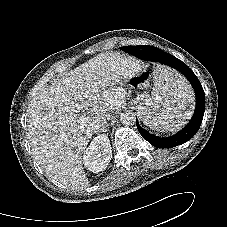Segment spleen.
Here are the masks:
<instances>
[{
    "instance_id": "obj_1",
    "label": "spleen",
    "mask_w": 227,
    "mask_h": 227,
    "mask_svg": "<svg viewBox=\"0 0 227 227\" xmlns=\"http://www.w3.org/2000/svg\"><path fill=\"white\" fill-rule=\"evenodd\" d=\"M153 75L151 97L138 107V113L150 128L173 132L192 114V91L183 77L168 68L157 67Z\"/></svg>"
}]
</instances>
